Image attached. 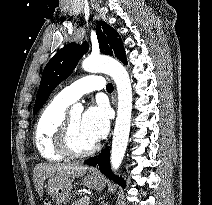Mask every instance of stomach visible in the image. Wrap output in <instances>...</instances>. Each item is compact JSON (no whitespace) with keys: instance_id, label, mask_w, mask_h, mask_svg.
Segmentation results:
<instances>
[{"instance_id":"obj_1","label":"stomach","mask_w":212,"mask_h":205,"mask_svg":"<svg viewBox=\"0 0 212 205\" xmlns=\"http://www.w3.org/2000/svg\"><path fill=\"white\" fill-rule=\"evenodd\" d=\"M82 184L87 188L100 191L105 186V179L101 175L90 173L82 178ZM46 186L53 202L57 205H66L70 200L73 179L69 177L60 179L50 177Z\"/></svg>"}]
</instances>
